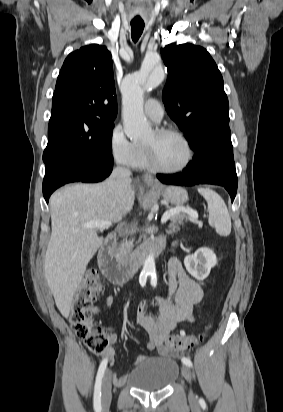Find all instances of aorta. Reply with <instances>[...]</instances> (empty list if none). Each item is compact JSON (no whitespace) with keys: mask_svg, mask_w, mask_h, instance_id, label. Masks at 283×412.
Segmentation results:
<instances>
[{"mask_svg":"<svg viewBox=\"0 0 283 412\" xmlns=\"http://www.w3.org/2000/svg\"><path fill=\"white\" fill-rule=\"evenodd\" d=\"M164 73L156 65L144 66L140 71L125 77L122 83V117L125 134L131 140L147 137L151 133L150 124L143 112V95L162 83ZM156 274L155 259L149 254L141 271L142 277Z\"/></svg>","mask_w":283,"mask_h":412,"instance_id":"1","label":"aorta"}]
</instances>
